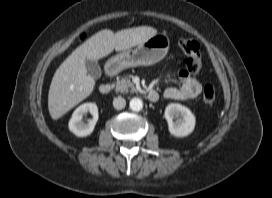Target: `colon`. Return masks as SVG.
Returning a JSON list of instances; mask_svg holds the SVG:
<instances>
[{"label":"colon","mask_w":272,"mask_h":198,"mask_svg":"<svg viewBox=\"0 0 272 198\" xmlns=\"http://www.w3.org/2000/svg\"><path fill=\"white\" fill-rule=\"evenodd\" d=\"M180 48L185 55V66L189 74H196L202 66L199 44L196 41L182 39ZM216 100V91L212 85H205L202 92V102L205 106H212Z\"/></svg>","instance_id":"colon-1"}]
</instances>
